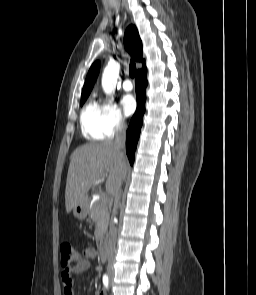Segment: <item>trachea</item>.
<instances>
[{
  "label": "trachea",
  "mask_w": 256,
  "mask_h": 295,
  "mask_svg": "<svg viewBox=\"0 0 256 295\" xmlns=\"http://www.w3.org/2000/svg\"><path fill=\"white\" fill-rule=\"evenodd\" d=\"M129 74H130V76L132 78H134V76L136 74V65H135V62L133 60L130 61Z\"/></svg>",
  "instance_id": "1"
}]
</instances>
